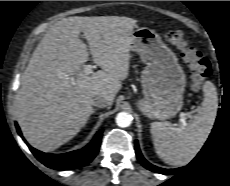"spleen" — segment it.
<instances>
[{"instance_id":"spleen-1","label":"spleen","mask_w":230,"mask_h":186,"mask_svg":"<svg viewBox=\"0 0 230 186\" xmlns=\"http://www.w3.org/2000/svg\"><path fill=\"white\" fill-rule=\"evenodd\" d=\"M204 99L192 120L181 128L170 122H153L150 131L157 155L167 164L187 165L206 142L217 116L218 96L210 81L203 85Z\"/></svg>"}]
</instances>
